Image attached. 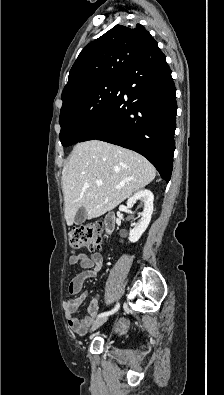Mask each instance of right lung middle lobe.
I'll return each instance as SVG.
<instances>
[{"mask_svg": "<svg viewBox=\"0 0 224 395\" xmlns=\"http://www.w3.org/2000/svg\"><path fill=\"white\" fill-rule=\"evenodd\" d=\"M121 79L96 82L62 99L59 122L60 141L64 147L79 142L87 134L91 124L116 94Z\"/></svg>", "mask_w": 224, "mask_h": 395, "instance_id": "obj_1", "label": "right lung middle lobe"}]
</instances>
